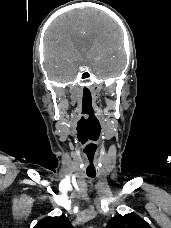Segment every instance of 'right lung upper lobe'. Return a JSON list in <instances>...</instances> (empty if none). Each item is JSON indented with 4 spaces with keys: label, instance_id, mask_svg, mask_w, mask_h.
Masks as SVG:
<instances>
[{
    "label": "right lung upper lobe",
    "instance_id": "right-lung-upper-lobe-1",
    "mask_svg": "<svg viewBox=\"0 0 171 228\" xmlns=\"http://www.w3.org/2000/svg\"><path fill=\"white\" fill-rule=\"evenodd\" d=\"M34 228H72L68 218L64 215L60 217H48L39 221Z\"/></svg>",
    "mask_w": 171,
    "mask_h": 228
}]
</instances>
